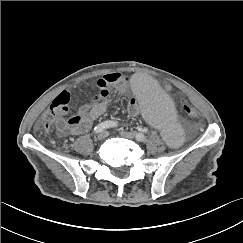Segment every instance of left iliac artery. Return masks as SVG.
I'll use <instances>...</instances> for the list:
<instances>
[{
    "instance_id": "left-iliac-artery-1",
    "label": "left iliac artery",
    "mask_w": 243,
    "mask_h": 243,
    "mask_svg": "<svg viewBox=\"0 0 243 243\" xmlns=\"http://www.w3.org/2000/svg\"><path fill=\"white\" fill-rule=\"evenodd\" d=\"M136 139L138 141H145L146 140V136L143 133H136Z\"/></svg>"
}]
</instances>
